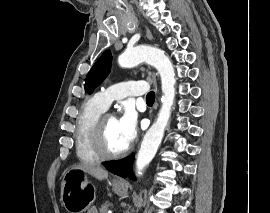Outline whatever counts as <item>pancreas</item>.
Returning a JSON list of instances; mask_svg holds the SVG:
<instances>
[{"label":"pancreas","mask_w":270,"mask_h":213,"mask_svg":"<svg viewBox=\"0 0 270 213\" xmlns=\"http://www.w3.org/2000/svg\"><path fill=\"white\" fill-rule=\"evenodd\" d=\"M110 206H111V204L108 203V202L102 204L101 207H100V209H99V212L100 213H108L107 211H108V209H109Z\"/></svg>","instance_id":"obj_1"}]
</instances>
